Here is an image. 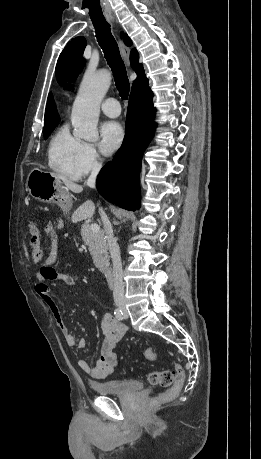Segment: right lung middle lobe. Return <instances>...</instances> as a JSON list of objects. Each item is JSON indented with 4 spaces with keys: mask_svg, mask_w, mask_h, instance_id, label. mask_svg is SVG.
Masks as SVG:
<instances>
[{
    "mask_svg": "<svg viewBox=\"0 0 261 459\" xmlns=\"http://www.w3.org/2000/svg\"><path fill=\"white\" fill-rule=\"evenodd\" d=\"M56 125L57 123L44 125V131H43L44 138H47L48 134L56 127Z\"/></svg>",
    "mask_w": 261,
    "mask_h": 459,
    "instance_id": "right-lung-middle-lobe-1",
    "label": "right lung middle lobe"
}]
</instances>
